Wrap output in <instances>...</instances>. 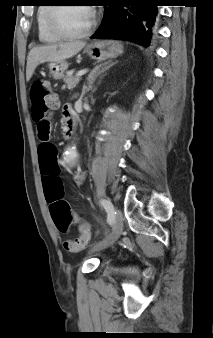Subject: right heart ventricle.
Here are the masks:
<instances>
[{
  "instance_id": "e07e8e85",
  "label": "right heart ventricle",
  "mask_w": 213,
  "mask_h": 338,
  "mask_svg": "<svg viewBox=\"0 0 213 338\" xmlns=\"http://www.w3.org/2000/svg\"><path fill=\"white\" fill-rule=\"evenodd\" d=\"M50 6L48 3H41L37 9L36 13V23H37V32L38 38L41 42L53 43L58 41V38L53 36L47 28V19Z\"/></svg>"
}]
</instances>
